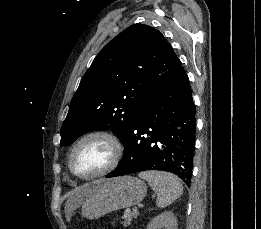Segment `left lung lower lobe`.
Returning <instances> with one entry per match:
<instances>
[{
    "mask_svg": "<svg viewBox=\"0 0 261 229\" xmlns=\"http://www.w3.org/2000/svg\"><path fill=\"white\" fill-rule=\"evenodd\" d=\"M195 131L192 91L188 76L180 66L151 91L124 142L122 160L106 177L161 170L189 183Z\"/></svg>",
    "mask_w": 261,
    "mask_h": 229,
    "instance_id": "1",
    "label": "left lung lower lobe"
}]
</instances>
